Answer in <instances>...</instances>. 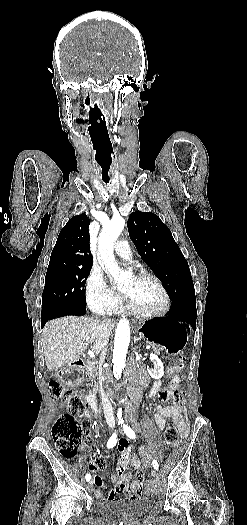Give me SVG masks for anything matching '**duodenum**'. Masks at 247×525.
Wrapping results in <instances>:
<instances>
[{
	"label": "duodenum",
	"instance_id": "1",
	"mask_svg": "<svg viewBox=\"0 0 247 525\" xmlns=\"http://www.w3.org/2000/svg\"><path fill=\"white\" fill-rule=\"evenodd\" d=\"M85 368V361L83 359H77L73 362L72 367L64 371L63 376L65 380L70 384H76L78 382V373ZM87 403L89 407L94 411L98 412L99 403L95 395L87 394Z\"/></svg>",
	"mask_w": 247,
	"mask_h": 525
}]
</instances>
